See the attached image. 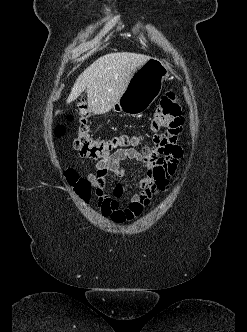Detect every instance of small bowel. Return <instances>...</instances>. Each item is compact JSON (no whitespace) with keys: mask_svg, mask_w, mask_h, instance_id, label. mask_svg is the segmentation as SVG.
I'll return each instance as SVG.
<instances>
[{"mask_svg":"<svg viewBox=\"0 0 247 332\" xmlns=\"http://www.w3.org/2000/svg\"><path fill=\"white\" fill-rule=\"evenodd\" d=\"M177 135H171L161 145L153 148L144 146L141 150L134 148L118 149L101 158L95 165L94 173L87 175V180L95 188L100 211L116 223H124L138 217L150 203L153 196L168 188L170 178L175 174L183 151L177 143ZM133 160L145 166L147 175L141 182V191L127 198V205L121 206V199L126 186L119 184L112 196L105 193V182L108 173L123 177L125 169L121 163Z\"/></svg>","mask_w":247,"mask_h":332,"instance_id":"1","label":"small bowel"}]
</instances>
